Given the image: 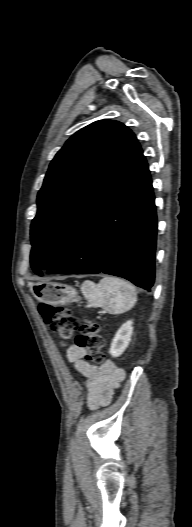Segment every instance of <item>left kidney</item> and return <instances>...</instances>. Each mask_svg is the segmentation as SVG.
Wrapping results in <instances>:
<instances>
[{
  "label": "left kidney",
  "mask_w": 192,
  "mask_h": 527,
  "mask_svg": "<svg viewBox=\"0 0 192 527\" xmlns=\"http://www.w3.org/2000/svg\"><path fill=\"white\" fill-rule=\"evenodd\" d=\"M133 321H127L124 323L120 329L115 334V337L112 340L109 353L113 357L120 356L125 349L128 347L129 342L131 341V336L133 333L132 327Z\"/></svg>",
  "instance_id": "1"
}]
</instances>
